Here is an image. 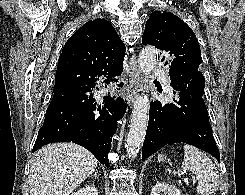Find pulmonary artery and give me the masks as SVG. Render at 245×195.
<instances>
[{"instance_id": "e3ab8cb5", "label": "pulmonary artery", "mask_w": 245, "mask_h": 195, "mask_svg": "<svg viewBox=\"0 0 245 195\" xmlns=\"http://www.w3.org/2000/svg\"><path fill=\"white\" fill-rule=\"evenodd\" d=\"M165 82H166V83H168V82H169V81H168V78H166V79H165Z\"/></svg>"}]
</instances>
